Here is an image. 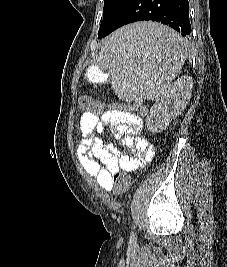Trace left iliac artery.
Returning a JSON list of instances; mask_svg holds the SVG:
<instances>
[{
    "label": "left iliac artery",
    "instance_id": "obj_1",
    "mask_svg": "<svg viewBox=\"0 0 227 267\" xmlns=\"http://www.w3.org/2000/svg\"><path fill=\"white\" fill-rule=\"evenodd\" d=\"M135 235H134V233L132 232V237H134Z\"/></svg>",
    "mask_w": 227,
    "mask_h": 267
}]
</instances>
